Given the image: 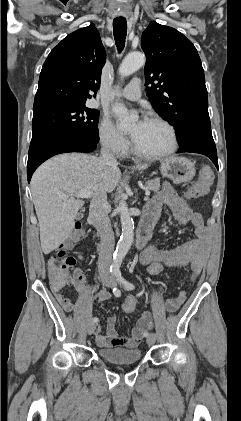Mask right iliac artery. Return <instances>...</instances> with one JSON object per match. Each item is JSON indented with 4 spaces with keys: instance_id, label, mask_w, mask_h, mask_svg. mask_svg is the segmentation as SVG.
Returning a JSON list of instances; mask_svg holds the SVG:
<instances>
[{
    "instance_id": "right-iliac-artery-1",
    "label": "right iliac artery",
    "mask_w": 241,
    "mask_h": 421,
    "mask_svg": "<svg viewBox=\"0 0 241 421\" xmlns=\"http://www.w3.org/2000/svg\"><path fill=\"white\" fill-rule=\"evenodd\" d=\"M112 292H113V294H114L115 297H119L121 295L120 290L117 289L116 287H114L112 289ZM92 320H93L94 323L98 322V318L97 317H94Z\"/></svg>"
}]
</instances>
